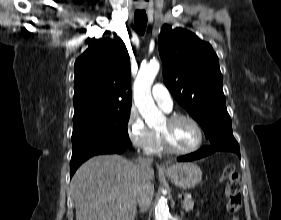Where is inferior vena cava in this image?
Instances as JSON below:
<instances>
[{
	"label": "inferior vena cava",
	"instance_id": "obj_1",
	"mask_svg": "<svg viewBox=\"0 0 281 220\" xmlns=\"http://www.w3.org/2000/svg\"><path fill=\"white\" fill-rule=\"evenodd\" d=\"M141 167H149L152 164L151 158H138ZM154 188L148 183H142L137 189V202L142 212L150 208L153 199Z\"/></svg>",
	"mask_w": 281,
	"mask_h": 220
}]
</instances>
